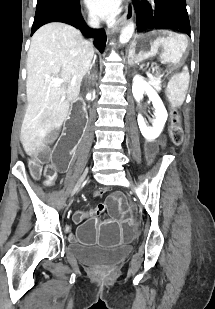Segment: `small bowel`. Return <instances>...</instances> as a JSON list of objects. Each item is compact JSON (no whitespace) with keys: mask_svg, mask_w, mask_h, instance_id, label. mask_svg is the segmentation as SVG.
Here are the masks:
<instances>
[{"mask_svg":"<svg viewBox=\"0 0 215 309\" xmlns=\"http://www.w3.org/2000/svg\"><path fill=\"white\" fill-rule=\"evenodd\" d=\"M96 214H97L96 211H94V212H89V213H88V217H90V216L92 217V216H94V215H96Z\"/></svg>","mask_w":215,"mask_h":309,"instance_id":"small-bowel-1","label":"small bowel"}]
</instances>
